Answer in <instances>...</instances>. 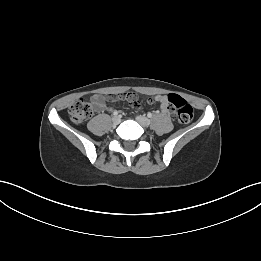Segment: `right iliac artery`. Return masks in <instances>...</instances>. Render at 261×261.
<instances>
[{
  "mask_svg": "<svg viewBox=\"0 0 261 261\" xmlns=\"http://www.w3.org/2000/svg\"><path fill=\"white\" fill-rule=\"evenodd\" d=\"M113 115H114V116H117V115H118V112H117V111H114V112H113Z\"/></svg>",
  "mask_w": 261,
  "mask_h": 261,
  "instance_id": "obj_1",
  "label": "right iliac artery"
}]
</instances>
